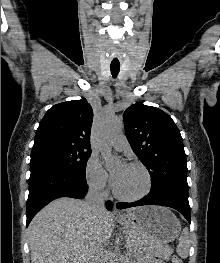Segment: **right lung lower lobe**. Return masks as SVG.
I'll return each instance as SVG.
<instances>
[{"mask_svg":"<svg viewBox=\"0 0 220 263\" xmlns=\"http://www.w3.org/2000/svg\"><path fill=\"white\" fill-rule=\"evenodd\" d=\"M29 196L27 200V223L52 200L60 197L80 199L88 190L85 174H76L47 164L30 165ZM113 203L106 202L107 209Z\"/></svg>","mask_w":220,"mask_h":263,"instance_id":"right-lung-lower-lobe-1","label":"right lung lower lobe"}]
</instances>
